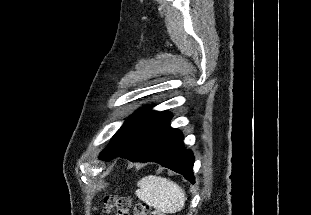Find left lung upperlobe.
I'll return each mask as SVG.
<instances>
[{
	"label": "left lung upper lobe",
	"instance_id": "5c2ea615",
	"mask_svg": "<svg viewBox=\"0 0 311 215\" xmlns=\"http://www.w3.org/2000/svg\"><path fill=\"white\" fill-rule=\"evenodd\" d=\"M158 113V111L150 110L149 107L137 110V112L132 114L115 133L110 144L100 154L99 158L109 160L127 148L148 121Z\"/></svg>",
	"mask_w": 311,
	"mask_h": 215
}]
</instances>
